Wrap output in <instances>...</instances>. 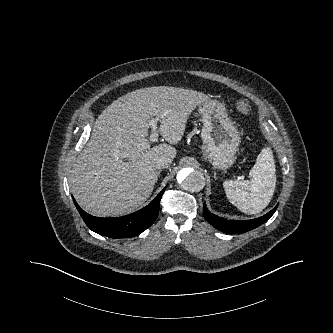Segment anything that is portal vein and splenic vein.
<instances>
[{
  "label": "portal vein and splenic vein",
  "mask_w": 333,
  "mask_h": 333,
  "mask_svg": "<svg viewBox=\"0 0 333 333\" xmlns=\"http://www.w3.org/2000/svg\"><path fill=\"white\" fill-rule=\"evenodd\" d=\"M157 121H158V119H156V118H153L149 121V125L153 129V132L151 133L150 138H149L151 142H155V141L158 140L159 135H158V132L156 130L157 129Z\"/></svg>",
  "instance_id": "obj_1"
}]
</instances>
